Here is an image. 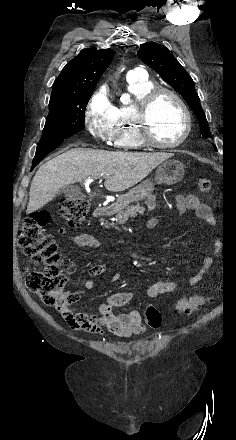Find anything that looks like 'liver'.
Segmentation results:
<instances>
[{"label": "liver", "instance_id": "obj_1", "mask_svg": "<svg viewBox=\"0 0 236 440\" xmlns=\"http://www.w3.org/2000/svg\"><path fill=\"white\" fill-rule=\"evenodd\" d=\"M172 153H138L73 148L43 164L30 186L26 213L52 201L65 186L87 178H105L104 186L124 191L143 180Z\"/></svg>", "mask_w": 236, "mask_h": 440}]
</instances>
